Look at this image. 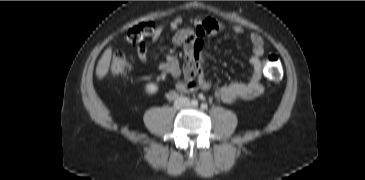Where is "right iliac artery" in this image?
<instances>
[{"label":"right iliac artery","mask_w":365,"mask_h":180,"mask_svg":"<svg viewBox=\"0 0 365 180\" xmlns=\"http://www.w3.org/2000/svg\"><path fill=\"white\" fill-rule=\"evenodd\" d=\"M191 105L194 106V107L198 106V101L196 99H193L191 101Z\"/></svg>","instance_id":"82829eb1"}]
</instances>
